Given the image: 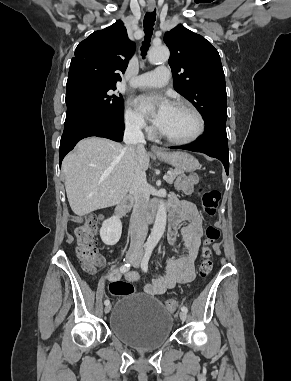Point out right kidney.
<instances>
[{"label": "right kidney", "mask_w": 291, "mask_h": 381, "mask_svg": "<svg viewBox=\"0 0 291 381\" xmlns=\"http://www.w3.org/2000/svg\"><path fill=\"white\" fill-rule=\"evenodd\" d=\"M122 233V223L118 216H113L105 220L100 229V237L104 244L115 245Z\"/></svg>", "instance_id": "obj_1"}]
</instances>
